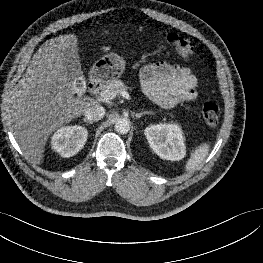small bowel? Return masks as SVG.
<instances>
[{"label": "small bowel", "instance_id": "1", "mask_svg": "<svg viewBox=\"0 0 263 263\" xmlns=\"http://www.w3.org/2000/svg\"><path fill=\"white\" fill-rule=\"evenodd\" d=\"M140 78L145 95L162 107L171 108L197 97V79L187 67L156 62L144 66Z\"/></svg>", "mask_w": 263, "mask_h": 263}]
</instances>
